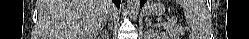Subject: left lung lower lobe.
<instances>
[{
	"label": "left lung lower lobe",
	"instance_id": "1",
	"mask_svg": "<svg viewBox=\"0 0 249 39\" xmlns=\"http://www.w3.org/2000/svg\"><path fill=\"white\" fill-rule=\"evenodd\" d=\"M146 0H141L140 6L142 7Z\"/></svg>",
	"mask_w": 249,
	"mask_h": 39
}]
</instances>
